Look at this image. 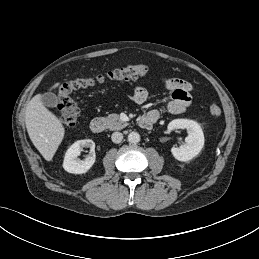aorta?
Here are the masks:
<instances>
[{
    "label": "aorta",
    "mask_w": 259,
    "mask_h": 259,
    "mask_svg": "<svg viewBox=\"0 0 259 259\" xmlns=\"http://www.w3.org/2000/svg\"><path fill=\"white\" fill-rule=\"evenodd\" d=\"M128 141L130 143L136 144L140 141V135L137 132H131L128 135Z\"/></svg>",
    "instance_id": "762f6f07"
}]
</instances>
